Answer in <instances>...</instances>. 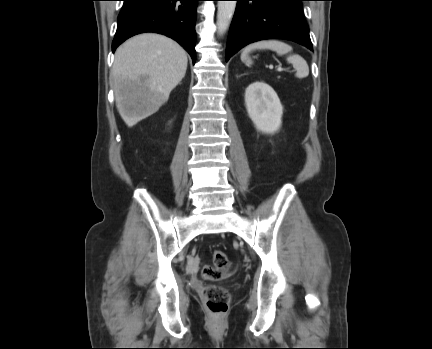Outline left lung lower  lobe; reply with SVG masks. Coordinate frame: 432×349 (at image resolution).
I'll list each match as a JSON object with an SVG mask.
<instances>
[{
  "mask_svg": "<svg viewBox=\"0 0 432 349\" xmlns=\"http://www.w3.org/2000/svg\"><path fill=\"white\" fill-rule=\"evenodd\" d=\"M226 61L245 45L263 39H286L312 50L303 15L304 0H236Z\"/></svg>",
  "mask_w": 432,
  "mask_h": 349,
  "instance_id": "left-lung-lower-lobe-1",
  "label": "left lung lower lobe"
}]
</instances>
